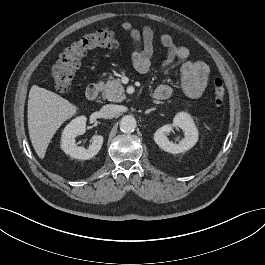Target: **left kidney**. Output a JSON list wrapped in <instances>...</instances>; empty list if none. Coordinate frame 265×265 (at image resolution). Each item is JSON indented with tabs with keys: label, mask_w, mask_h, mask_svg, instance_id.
I'll use <instances>...</instances> for the list:
<instances>
[{
	"label": "left kidney",
	"mask_w": 265,
	"mask_h": 265,
	"mask_svg": "<svg viewBox=\"0 0 265 265\" xmlns=\"http://www.w3.org/2000/svg\"><path fill=\"white\" fill-rule=\"evenodd\" d=\"M173 127H179L184 131V138L178 144L170 142L167 137ZM154 141L164 151L178 154L191 149L197 143L198 130L188 113L179 112L175 115L171 125H164L155 132Z\"/></svg>",
	"instance_id": "left-kidney-1"
}]
</instances>
